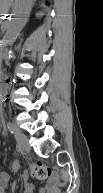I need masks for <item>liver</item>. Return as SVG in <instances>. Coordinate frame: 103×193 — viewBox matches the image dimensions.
<instances>
[{
	"label": "liver",
	"instance_id": "obj_1",
	"mask_svg": "<svg viewBox=\"0 0 103 193\" xmlns=\"http://www.w3.org/2000/svg\"><path fill=\"white\" fill-rule=\"evenodd\" d=\"M13 0H1L0 1V11L1 13H6L9 10V7L11 5Z\"/></svg>",
	"mask_w": 103,
	"mask_h": 193
}]
</instances>
